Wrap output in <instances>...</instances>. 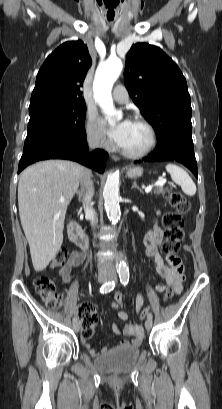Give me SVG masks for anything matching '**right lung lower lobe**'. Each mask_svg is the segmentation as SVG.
Returning a JSON list of instances; mask_svg holds the SVG:
<instances>
[{
    "instance_id": "obj_1",
    "label": "right lung lower lobe",
    "mask_w": 222,
    "mask_h": 409,
    "mask_svg": "<svg viewBox=\"0 0 222 409\" xmlns=\"http://www.w3.org/2000/svg\"><path fill=\"white\" fill-rule=\"evenodd\" d=\"M88 146L86 139L74 147L73 150H59V149H36L22 155L18 173H20L28 165L45 159H69L77 161L85 166H88L100 173L105 169V162L108 154L103 150H94L92 153H87Z\"/></svg>"
}]
</instances>
